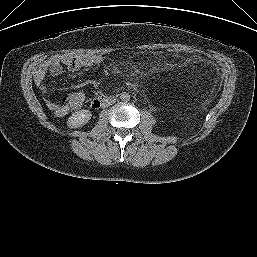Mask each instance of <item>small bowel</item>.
Returning a JSON list of instances; mask_svg holds the SVG:
<instances>
[{"instance_id":"obj_1","label":"small bowel","mask_w":257,"mask_h":257,"mask_svg":"<svg viewBox=\"0 0 257 257\" xmlns=\"http://www.w3.org/2000/svg\"><path fill=\"white\" fill-rule=\"evenodd\" d=\"M104 57L97 54H78V55H55L48 60L43 61L35 70L34 81L36 85L46 93L44 80L47 74L58 76L62 73L65 66L69 71L75 72L81 68L101 66L104 63ZM47 107L53 111L57 117L65 116L68 108L64 105L56 104L49 98H45Z\"/></svg>"}]
</instances>
